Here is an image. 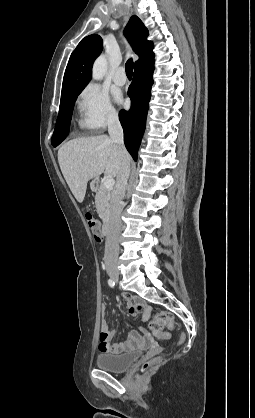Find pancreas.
<instances>
[{"label": "pancreas", "mask_w": 255, "mask_h": 418, "mask_svg": "<svg viewBox=\"0 0 255 418\" xmlns=\"http://www.w3.org/2000/svg\"><path fill=\"white\" fill-rule=\"evenodd\" d=\"M110 191L106 189L103 184L99 186L96 191L95 203L99 217L101 219L107 218L110 210Z\"/></svg>", "instance_id": "1"}]
</instances>
